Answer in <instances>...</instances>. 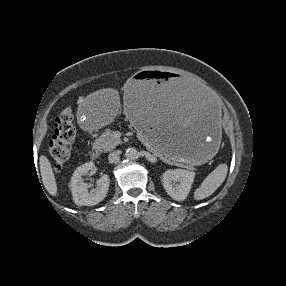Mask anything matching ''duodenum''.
<instances>
[{
  "label": "duodenum",
  "instance_id": "1",
  "mask_svg": "<svg viewBox=\"0 0 286 286\" xmlns=\"http://www.w3.org/2000/svg\"><path fill=\"white\" fill-rule=\"evenodd\" d=\"M100 156L99 150L97 148L93 149L91 151V158L92 159H98Z\"/></svg>",
  "mask_w": 286,
  "mask_h": 286
}]
</instances>
